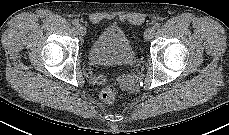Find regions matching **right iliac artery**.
<instances>
[{
    "label": "right iliac artery",
    "mask_w": 229,
    "mask_h": 135,
    "mask_svg": "<svg viewBox=\"0 0 229 135\" xmlns=\"http://www.w3.org/2000/svg\"><path fill=\"white\" fill-rule=\"evenodd\" d=\"M72 24L74 26H78L79 25V21L77 19H74V20H72Z\"/></svg>",
    "instance_id": "1"
}]
</instances>
